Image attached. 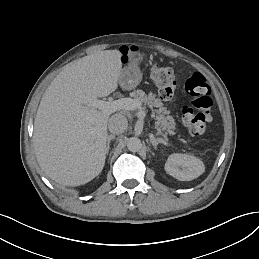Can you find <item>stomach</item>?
Instances as JSON below:
<instances>
[{
    "mask_svg": "<svg viewBox=\"0 0 259 259\" xmlns=\"http://www.w3.org/2000/svg\"><path fill=\"white\" fill-rule=\"evenodd\" d=\"M128 56L131 63L124 66L120 73L119 82L123 88L132 89L141 83L143 72L139 64L143 60V55L138 50H130Z\"/></svg>",
    "mask_w": 259,
    "mask_h": 259,
    "instance_id": "0dacf381",
    "label": "stomach"
}]
</instances>
